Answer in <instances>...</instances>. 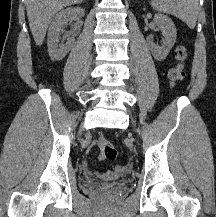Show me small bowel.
I'll return each instance as SVG.
<instances>
[{
    "instance_id": "small-bowel-1",
    "label": "small bowel",
    "mask_w": 216,
    "mask_h": 217,
    "mask_svg": "<svg viewBox=\"0 0 216 217\" xmlns=\"http://www.w3.org/2000/svg\"><path fill=\"white\" fill-rule=\"evenodd\" d=\"M92 149V148H91ZM122 172L121 167H115L112 170H109L107 172H95V174L104 180H112L117 177L119 173Z\"/></svg>"
}]
</instances>
